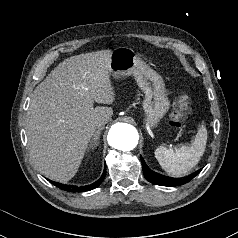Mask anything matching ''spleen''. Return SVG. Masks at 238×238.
<instances>
[{
    "instance_id": "obj_1",
    "label": "spleen",
    "mask_w": 238,
    "mask_h": 238,
    "mask_svg": "<svg viewBox=\"0 0 238 238\" xmlns=\"http://www.w3.org/2000/svg\"><path fill=\"white\" fill-rule=\"evenodd\" d=\"M207 142V130L202 124L191 143L176 149L158 147L154 154L160 166L171 176L180 177L188 174L200 161Z\"/></svg>"
}]
</instances>
